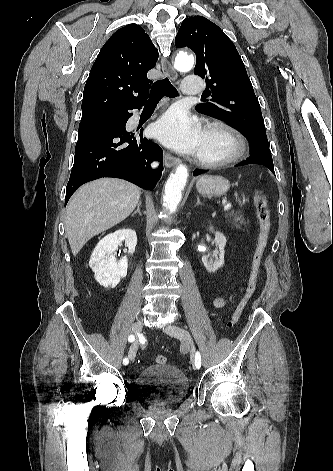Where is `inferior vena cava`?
<instances>
[{"mask_svg": "<svg viewBox=\"0 0 333 471\" xmlns=\"http://www.w3.org/2000/svg\"><path fill=\"white\" fill-rule=\"evenodd\" d=\"M157 165L158 164L155 162V163L152 164V167H157Z\"/></svg>", "mask_w": 333, "mask_h": 471, "instance_id": "obj_1", "label": "inferior vena cava"}]
</instances>
